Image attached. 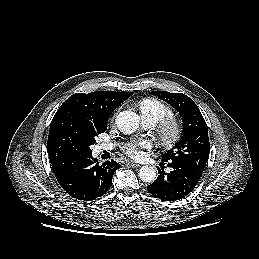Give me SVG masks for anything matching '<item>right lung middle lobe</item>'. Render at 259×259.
I'll return each instance as SVG.
<instances>
[{"instance_id":"dd1d6c3e","label":"right lung middle lobe","mask_w":259,"mask_h":259,"mask_svg":"<svg viewBox=\"0 0 259 259\" xmlns=\"http://www.w3.org/2000/svg\"><path fill=\"white\" fill-rule=\"evenodd\" d=\"M106 129L70 115L58 117L49 130L47 146L50 161L68 155L91 153L90 146L96 143L95 137Z\"/></svg>"}]
</instances>
